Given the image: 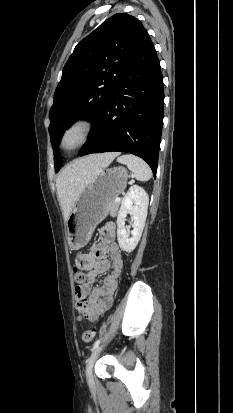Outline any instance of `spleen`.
I'll return each instance as SVG.
<instances>
[{
    "label": "spleen",
    "mask_w": 233,
    "mask_h": 413,
    "mask_svg": "<svg viewBox=\"0 0 233 413\" xmlns=\"http://www.w3.org/2000/svg\"><path fill=\"white\" fill-rule=\"evenodd\" d=\"M117 161L125 164L139 181H148L152 177V171L148 164L137 156L125 154L120 156Z\"/></svg>",
    "instance_id": "1"
}]
</instances>
